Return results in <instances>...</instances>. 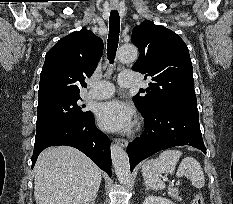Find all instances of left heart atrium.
Instances as JSON below:
<instances>
[{"instance_id":"left-heart-atrium-1","label":"left heart atrium","mask_w":233,"mask_h":204,"mask_svg":"<svg viewBox=\"0 0 233 204\" xmlns=\"http://www.w3.org/2000/svg\"><path fill=\"white\" fill-rule=\"evenodd\" d=\"M133 118V108L117 99L104 102L97 109L98 124L108 131L123 132L130 129Z\"/></svg>"}]
</instances>
